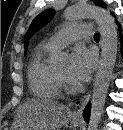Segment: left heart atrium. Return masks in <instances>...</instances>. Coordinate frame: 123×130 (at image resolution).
<instances>
[{"instance_id":"obj_1","label":"left heart atrium","mask_w":123,"mask_h":130,"mask_svg":"<svg viewBox=\"0 0 123 130\" xmlns=\"http://www.w3.org/2000/svg\"><path fill=\"white\" fill-rule=\"evenodd\" d=\"M95 65V55L79 46L74 49L69 67V80L76 85L85 82L91 75Z\"/></svg>"}]
</instances>
